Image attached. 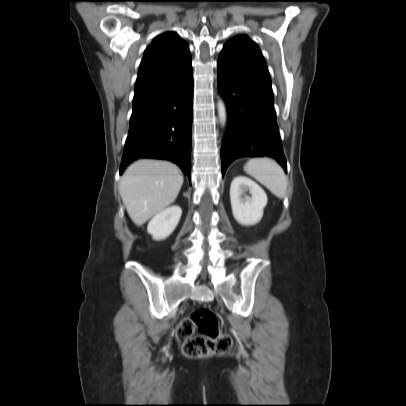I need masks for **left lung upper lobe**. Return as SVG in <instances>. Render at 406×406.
<instances>
[{
    "mask_svg": "<svg viewBox=\"0 0 406 406\" xmlns=\"http://www.w3.org/2000/svg\"><path fill=\"white\" fill-rule=\"evenodd\" d=\"M221 53L232 55L253 64L269 74L264 57L259 47L246 35L231 38Z\"/></svg>",
    "mask_w": 406,
    "mask_h": 406,
    "instance_id": "left-lung-upper-lobe-1",
    "label": "left lung upper lobe"
}]
</instances>
